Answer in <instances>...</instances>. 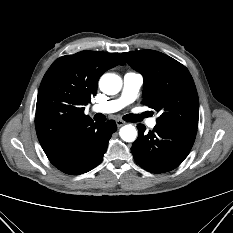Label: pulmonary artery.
<instances>
[{"label": "pulmonary artery", "instance_id": "1", "mask_svg": "<svg viewBox=\"0 0 233 233\" xmlns=\"http://www.w3.org/2000/svg\"><path fill=\"white\" fill-rule=\"evenodd\" d=\"M143 84V78L136 73H126L123 79L122 94L119 98L109 100L101 104L93 106V111L104 114H111L121 110L126 105L132 103ZM147 125L151 128L155 127L157 122L156 118H150L146 121Z\"/></svg>", "mask_w": 233, "mask_h": 233}]
</instances>
